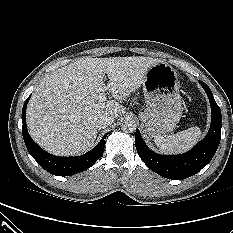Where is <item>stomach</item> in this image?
<instances>
[{
    "instance_id": "0dacf381",
    "label": "stomach",
    "mask_w": 233,
    "mask_h": 233,
    "mask_svg": "<svg viewBox=\"0 0 233 233\" xmlns=\"http://www.w3.org/2000/svg\"><path fill=\"white\" fill-rule=\"evenodd\" d=\"M179 88L177 72L170 64L161 61L148 69L143 81L146 109L140 119L151 137L176 128L183 112Z\"/></svg>"
}]
</instances>
